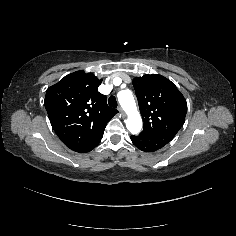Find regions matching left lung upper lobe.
<instances>
[{"label":"left lung upper lobe","mask_w":236,"mask_h":236,"mask_svg":"<svg viewBox=\"0 0 236 236\" xmlns=\"http://www.w3.org/2000/svg\"><path fill=\"white\" fill-rule=\"evenodd\" d=\"M133 86L144 122L141 133L173 138L187 113L181 92L170 80L156 74L134 78Z\"/></svg>","instance_id":"left-lung-upper-lobe-1"}]
</instances>
